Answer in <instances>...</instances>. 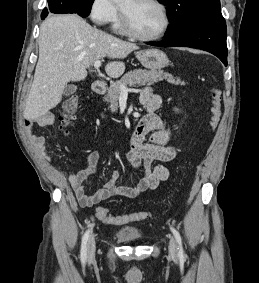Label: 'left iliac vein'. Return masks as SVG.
Listing matches in <instances>:
<instances>
[{
  "instance_id": "4c4485c4",
  "label": "left iliac vein",
  "mask_w": 259,
  "mask_h": 283,
  "mask_svg": "<svg viewBox=\"0 0 259 283\" xmlns=\"http://www.w3.org/2000/svg\"><path fill=\"white\" fill-rule=\"evenodd\" d=\"M169 252L172 256H177V244L176 240L172 236H170Z\"/></svg>"
}]
</instances>
